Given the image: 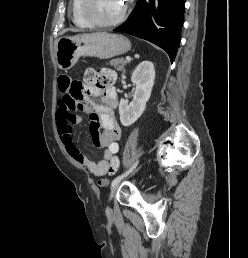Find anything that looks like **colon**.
I'll list each match as a JSON object with an SVG mask.
<instances>
[{
	"label": "colon",
	"instance_id": "1",
	"mask_svg": "<svg viewBox=\"0 0 248 258\" xmlns=\"http://www.w3.org/2000/svg\"><path fill=\"white\" fill-rule=\"evenodd\" d=\"M116 79L115 72L108 68L102 69H87L83 74V82H77V88H71L75 93L76 97H80L82 95V91L85 87L89 86H111ZM119 169V160L114 157L111 160L109 171L111 174H115Z\"/></svg>",
	"mask_w": 248,
	"mask_h": 258
}]
</instances>
